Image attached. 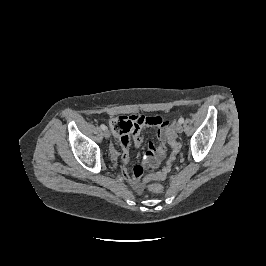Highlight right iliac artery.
<instances>
[{
  "label": "right iliac artery",
  "instance_id": "right-iliac-artery-1",
  "mask_svg": "<svg viewBox=\"0 0 266 266\" xmlns=\"http://www.w3.org/2000/svg\"><path fill=\"white\" fill-rule=\"evenodd\" d=\"M100 128H101L102 130H105L107 127H106L104 124H101V125H100Z\"/></svg>",
  "mask_w": 266,
  "mask_h": 266
}]
</instances>
